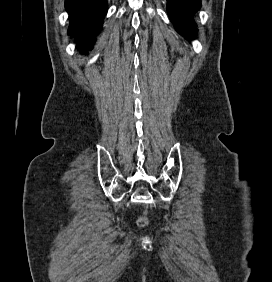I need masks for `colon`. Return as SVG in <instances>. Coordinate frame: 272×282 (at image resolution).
<instances>
[{
    "label": "colon",
    "instance_id": "5ec220e1",
    "mask_svg": "<svg viewBox=\"0 0 272 282\" xmlns=\"http://www.w3.org/2000/svg\"><path fill=\"white\" fill-rule=\"evenodd\" d=\"M139 224L142 225V226L145 225L146 224V219L145 218H141L140 221H139Z\"/></svg>",
    "mask_w": 272,
    "mask_h": 282
}]
</instances>
